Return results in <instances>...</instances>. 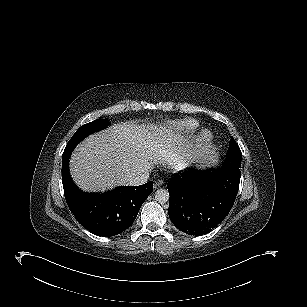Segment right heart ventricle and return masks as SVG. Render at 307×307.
<instances>
[{
  "label": "right heart ventricle",
  "instance_id": "right-heart-ventricle-1",
  "mask_svg": "<svg viewBox=\"0 0 307 307\" xmlns=\"http://www.w3.org/2000/svg\"><path fill=\"white\" fill-rule=\"evenodd\" d=\"M197 124L192 119H180L164 122L158 131L160 143H171L180 137H191L196 130Z\"/></svg>",
  "mask_w": 307,
  "mask_h": 307
}]
</instances>
